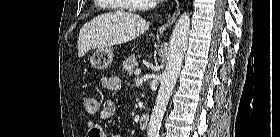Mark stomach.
<instances>
[{
    "label": "stomach",
    "instance_id": "obj_1",
    "mask_svg": "<svg viewBox=\"0 0 280 137\" xmlns=\"http://www.w3.org/2000/svg\"><path fill=\"white\" fill-rule=\"evenodd\" d=\"M113 50L109 47L98 48L93 53L90 63L93 68L98 70L106 69L113 61Z\"/></svg>",
    "mask_w": 280,
    "mask_h": 137
}]
</instances>
